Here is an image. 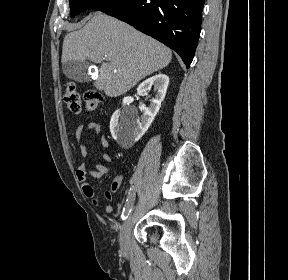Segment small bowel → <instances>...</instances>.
Returning <instances> with one entry per match:
<instances>
[{"mask_svg": "<svg viewBox=\"0 0 288 280\" xmlns=\"http://www.w3.org/2000/svg\"><path fill=\"white\" fill-rule=\"evenodd\" d=\"M85 127L80 124L77 126L75 131V138L78 143L79 152L82 157L86 158L88 156V149L86 145L82 142V136L84 133ZM87 131L93 132L94 134L100 136V143L103 148H108L109 141L107 137L102 133V127L97 122H90L86 128ZM102 159L106 162H111V156L107 153H103L101 155ZM110 171V167L102 164H95L93 169H90L86 163H82L76 172L77 180L81 185V189L85 195V197L95 206L99 205V201L96 197L95 191L93 187L88 182V177L100 179L106 173ZM120 185V178L116 179L112 185V189L110 191L105 192V198L107 200H112L114 194L118 192L115 186ZM105 213L110 214L113 212V206L107 205L104 208Z\"/></svg>", "mask_w": 288, "mask_h": 280, "instance_id": "c3829d8e", "label": "small bowel"}]
</instances>
